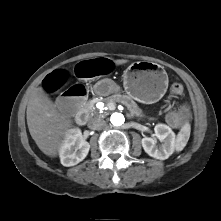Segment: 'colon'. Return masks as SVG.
<instances>
[{"mask_svg": "<svg viewBox=\"0 0 221 221\" xmlns=\"http://www.w3.org/2000/svg\"><path fill=\"white\" fill-rule=\"evenodd\" d=\"M112 63L107 59L97 61H87L78 66L77 72L83 77H92L99 74H106L112 70ZM68 79L65 71H55L49 74L44 82L43 87L47 92H56L63 87ZM184 91L183 85L174 83L171 86V92L175 95H181ZM86 90L80 84L71 85L59 98L57 104V113L61 117H70L75 114L84 104ZM193 117L192 107L188 103L180 105L179 110H172L167 116V121L174 127L182 126L186 121Z\"/></svg>", "mask_w": 221, "mask_h": 221, "instance_id": "colon-1", "label": "colon"}]
</instances>
